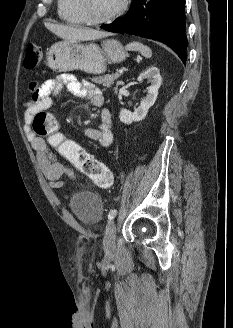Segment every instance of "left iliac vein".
<instances>
[{
	"label": "left iliac vein",
	"mask_w": 233,
	"mask_h": 328,
	"mask_svg": "<svg viewBox=\"0 0 233 328\" xmlns=\"http://www.w3.org/2000/svg\"><path fill=\"white\" fill-rule=\"evenodd\" d=\"M104 251L107 255L113 254L116 247V223L114 220L107 225L105 237L103 239Z\"/></svg>",
	"instance_id": "4c4485c4"
}]
</instances>
